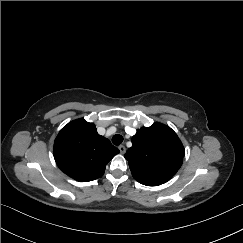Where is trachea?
<instances>
[{"label":"trachea","mask_w":243,"mask_h":243,"mask_svg":"<svg viewBox=\"0 0 243 243\" xmlns=\"http://www.w3.org/2000/svg\"><path fill=\"white\" fill-rule=\"evenodd\" d=\"M123 142V136L116 134L112 137V143L114 145H120Z\"/></svg>","instance_id":"trachea-1"}]
</instances>
